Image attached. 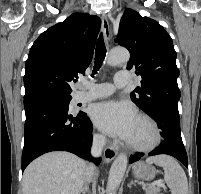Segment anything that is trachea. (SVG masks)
Masks as SVG:
<instances>
[{
	"mask_svg": "<svg viewBox=\"0 0 201 194\" xmlns=\"http://www.w3.org/2000/svg\"><path fill=\"white\" fill-rule=\"evenodd\" d=\"M105 56H106V47H105L103 35L101 33L97 40V45L95 50V65L92 71V77L97 73V71L102 66Z\"/></svg>",
	"mask_w": 201,
	"mask_h": 194,
	"instance_id": "trachea-1",
	"label": "trachea"
}]
</instances>
